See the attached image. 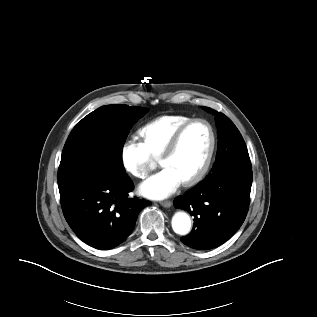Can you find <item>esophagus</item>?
<instances>
[{
  "label": "esophagus",
  "instance_id": "esophagus-1",
  "mask_svg": "<svg viewBox=\"0 0 317 317\" xmlns=\"http://www.w3.org/2000/svg\"><path fill=\"white\" fill-rule=\"evenodd\" d=\"M160 204L165 208H169L172 206V202L170 200L162 201L160 202Z\"/></svg>",
  "mask_w": 317,
  "mask_h": 317
}]
</instances>
